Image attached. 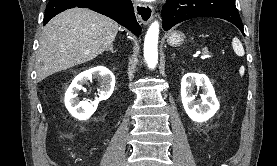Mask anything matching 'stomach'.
Returning <instances> with one entry per match:
<instances>
[{"label": "stomach", "instance_id": "stomach-1", "mask_svg": "<svg viewBox=\"0 0 277 166\" xmlns=\"http://www.w3.org/2000/svg\"><path fill=\"white\" fill-rule=\"evenodd\" d=\"M185 38L186 37L184 33L175 31L168 36L167 41L170 46L176 47L182 45L185 41Z\"/></svg>", "mask_w": 277, "mask_h": 166}]
</instances>
